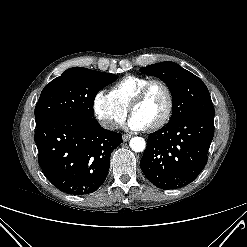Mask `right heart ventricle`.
<instances>
[{
    "label": "right heart ventricle",
    "mask_w": 247,
    "mask_h": 247,
    "mask_svg": "<svg viewBox=\"0 0 247 247\" xmlns=\"http://www.w3.org/2000/svg\"><path fill=\"white\" fill-rule=\"evenodd\" d=\"M148 81L150 79L144 76H126L111 88L110 94L120 105L128 108L134 96Z\"/></svg>",
    "instance_id": "1"
}]
</instances>
